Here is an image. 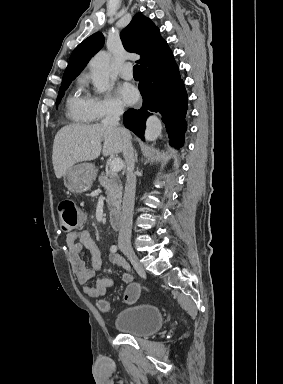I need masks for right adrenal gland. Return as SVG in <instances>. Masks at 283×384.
I'll return each instance as SVG.
<instances>
[{
	"label": "right adrenal gland",
	"instance_id": "1",
	"mask_svg": "<svg viewBox=\"0 0 283 384\" xmlns=\"http://www.w3.org/2000/svg\"><path fill=\"white\" fill-rule=\"evenodd\" d=\"M134 156H135L136 162H138V154H137L136 150H134Z\"/></svg>",
	"mask_w": 283,
	"mask_h": 384
}]
</instances>
